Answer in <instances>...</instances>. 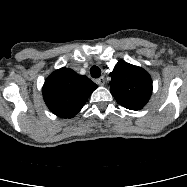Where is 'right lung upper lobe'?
<instances>
[{
	"label": "right lung upper lobe",
	"instance_id": "right-lung-upper-lobe-1",
	"mask_svg": "<svg viewBox=\"0 0 187 187\" xmlns=\"http://www.w3.org/2000/svg\"><path fill=\"white\" fill-rule=\"evenodd\" d=\"M96 88L86 76L63 67L46 79L42 93L50 111L61 118H72Z\"/></svg>",
	"mask_w": 187,
	"mask_h": 187
}]
</instances>
